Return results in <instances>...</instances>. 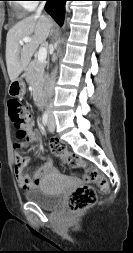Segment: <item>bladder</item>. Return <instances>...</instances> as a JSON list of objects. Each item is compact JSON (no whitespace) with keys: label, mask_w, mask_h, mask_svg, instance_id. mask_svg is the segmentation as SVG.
<instances>
[{"label":"bladder","mask_w":133,"mask_h":253,"mask_svg":"<svg viewBox=\"0 0 133 253\" xmlns=\"http://www.w3.org/2000/svg\"><path fill=\"white\" fill-rule=\"evenodd\" d=\"M24 198L44 210H53L59 206L62 196L58 192L49 191L41 187L28 189L24 192Z\"/></svg>","instance_id":"1"}]
</instances>
